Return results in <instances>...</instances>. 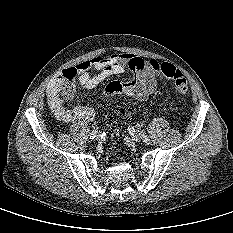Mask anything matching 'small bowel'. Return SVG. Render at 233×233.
<instances>
[{
    "label": "small bowel",
    "instance_id": "small-bowel-1",
    "mask_svg": "<svg viewBox=\"0 0 233 233\" xmlns=\"http://www.w3.org/2000/svg\"><path fill=\"white\" fill-rule=\"evenodd\" d=\"M159 62L144 60L132 54H112L110 56H98L91 60L80 62L75 67L65 70L47 88V97L50 108L58 120L70 123L75 120L91 121L94 118V109L90 106H75L67 108L63 105L60 96V83L69 75L77 77L79 85L84 89H92L112 75L123 73L126 69L133 72L134 78L128 82H111L107 85L103 99L115 94H124L136 100H146L156 90L158 79L161 77L158 71ZM92 72H95L92 75Z\"/></svg>",
    "mask_w": 233,
    "mask_h": 233
}]
</instances>
